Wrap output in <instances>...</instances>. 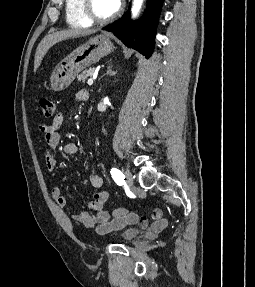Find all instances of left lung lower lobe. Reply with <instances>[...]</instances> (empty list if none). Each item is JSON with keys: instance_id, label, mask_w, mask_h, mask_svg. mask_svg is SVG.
I'll return each instance as SVG.
<instances>
[{"instance_id": "left-lung-lower-lobe-1", "label": "left lung lower lobe", "mask_w": 255, "mask_h": 287, "mask_svg": "<svg viewBox=\"0 0 255 287\" xmlns=\"http://www.w3.org/2000/svg\"><path fill=\"white\" fill-rule=\"evenodd\" d=\"M164 0H148L144 17L132 23L127 12L121 19L103 29L111 31L127 47L136 49L149 58L153 52L156 26Z\"/></svg>"}]
</instances>
